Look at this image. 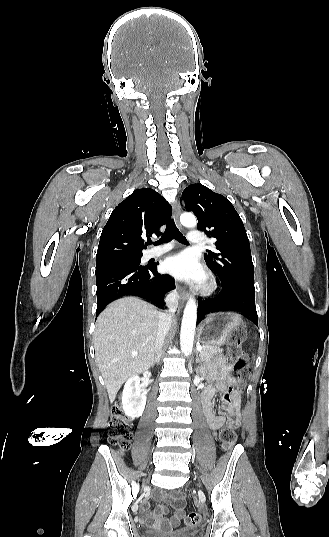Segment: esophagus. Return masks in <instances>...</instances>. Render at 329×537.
Wrapping results in <instances>:
<instances>
[{"mask_svg":"<svg viewBox=\"0 0 329 537\" xmlns=\"http://www.w3.org/2000/svg\"><path fill=\"white\" fill-rule=\"evenodd\" d=\"M180 213H181V210H180L179 203L177 201H174L173 202L174 220H175V223H176L177 227L179 229H182V226H181V224L179 222ZM180 299H181L182 302H185V300L187 299V293H186V291L184 289L181 291V298Z\"/></svg>","mask_w":329,"mask_h":537,"instance_id":"obj_1","label":"esophagus"}]
</instances>
